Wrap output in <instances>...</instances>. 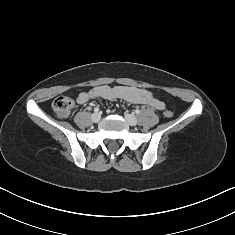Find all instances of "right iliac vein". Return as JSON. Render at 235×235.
Instances as JSON below:
<instances>
[{"instance_id":"63e3f726","label":"right iliac vein","mask_w":235,"mask_h":235,"mask_svg":"<svg viewBox=\"0 0 235 235\" xmlns=\"http://www.w3.org/2000/svg\"><path fill=\"white\" fill-rule=\"evenodd\" d=\"M91 119H92V121H93L94 123H97V122L100 121L101 116H100L99 113H94V114L91 116Z\"/></svg>"}]
</instances>
